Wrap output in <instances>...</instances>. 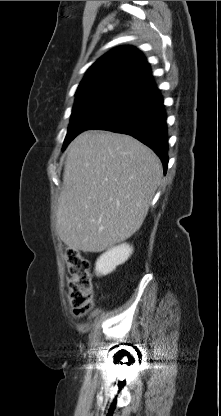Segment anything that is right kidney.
Listing matches in <instances>:
<instances>
[{"instance_id":"obj_1","label":"right kidney","mask_w":221,"mask_h":416,"mask_svg":"<svg viewBox=\"0 0 221 416\" xmlns=\"http://www.w3.org/2000/svg\"><path fill=\"white\" fill-rule=\"evenodd\" d=\"M132 252L133 248L126 243L112 247L97 259L96 274L99 276L111 273L118 265L125 263Z\"/></svg>"}]
</instances>
